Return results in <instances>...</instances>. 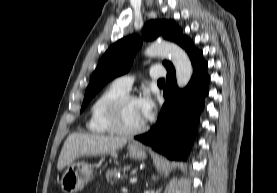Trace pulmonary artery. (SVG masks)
Masks as SVG:
<instances>
[{
    "label": "pulmonary artery",
    "mask_w": 277,
    "mask_h": 193,
    "mask_svg": "<svg viewBox=\"0 0 277 193\" xmlns=\"http://www.w3.org/2000/svg\"><path fill=\"white\" fill-rule=\"evenodd\" d=\"M149 76L153 79H159L165 76V70L160 66H153L149 70ZM134 82V77L130 75H123L114 80V84L123 90L128 92Z\"/></svg>",
    "instance_id": "e3ab8cb5"
}]
</instances>
